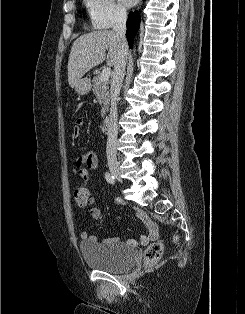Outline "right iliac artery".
<instances>
[{
	"instance_id": "obj_1",
	"label": "right iliac artery",
	"mask_w": 245,
	"mask_h": 314,
	"mask_svg": "<svg viewBox=\"0 0 245 314\" xmlns=\"http://www.w3.org/2000/svg\"><path fill=\"white\" fill-rule=\"evenodd\" d=\"M105 179L107 180L108 183L110 184H114L115 183V178L113 175H111L110 173L106 172L105 173Z\"/></svg>"
}]
</instances>
